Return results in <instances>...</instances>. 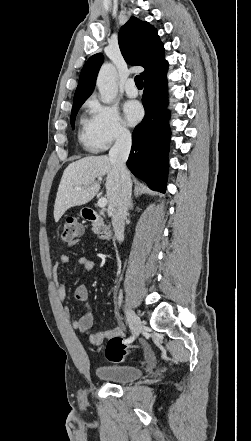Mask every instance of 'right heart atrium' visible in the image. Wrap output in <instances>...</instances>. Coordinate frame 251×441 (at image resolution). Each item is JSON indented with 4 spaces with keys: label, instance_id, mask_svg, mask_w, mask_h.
Wrapping results in <instances>:
<instances>
[{
    "label": "right heart atrium",
    "instance_id": "1",
    "mask_svg": "<svg viewBox=\"0 0 251 441\" xmlns=\"http://www.w3.org/2000/svg\"><path fill=\"white\" fill-rule=\"evenodd\" d=\"M90 111V130L98 150L106 149L116 141L127 139L130 131L113 105L91 99L87 104Z\"/></svg>",
    "mask_w": 251,
    "mask_h": 441
}]
</instances>
